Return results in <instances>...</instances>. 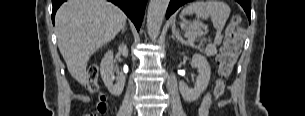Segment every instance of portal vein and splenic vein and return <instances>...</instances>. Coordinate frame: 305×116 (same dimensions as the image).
<instances>
[{
    "label": "portal vein and splenic vein",
    "instance_id": "obj_1",
    "mask_svg": "<svg viewBox=\"0 0 305 116\" xmlns=\"http://www.w3.org/2000/svg\"><path fill=\"white\" fill-rule=\"evenodd\" d=\"M199 26L202 27L205 30L207 29V25H205V24L200 23Z\"/></svg>",
    "mask_w": 305,
    "mask_h": 116
}]
</instances>
